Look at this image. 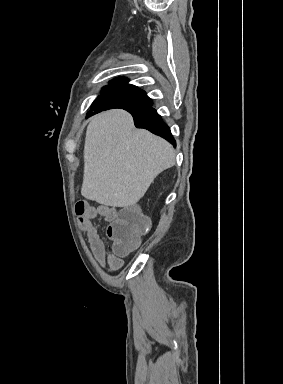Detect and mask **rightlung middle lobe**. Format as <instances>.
<instances>
[{
	"label": "right lung middle lobe",
	"instance_id": "obj_1",
	"mask_svg": "<svg viewBox=\"0 0 283 384\" xmlns=\"http://www.w3.org/2000/svg\"><path fill=\"white\" fill-rule=\"evenodd\" d=\"M152 106V100L140 89L111 87L102 89V94L93 102L91 109L133 108L143 110Z\"/></svg>",
	"mask_w": 283,
	"mask_h": 384
}]
</instances>
